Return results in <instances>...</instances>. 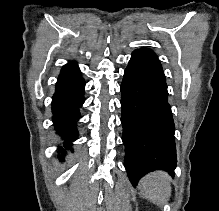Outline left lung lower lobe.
Instances as JSON below:
<instances>
[{
  "mask_svg": "<svg viewBox=\"0 0 219 211\" xmlns=\"http://www.w3.org/2000/svg\"><path fill=\"white\" fill-rule=\"evenodd\" d=\"M124 165L133 186L149 172L176 168L175 126L159 59L135 50L121 84Z\"/></svg>",
  "mask_w": 219,
  "mask_h": 211,
  "instance_id": "obj_1",
  "label": "left lung lower lobe"
}]
</instances>
